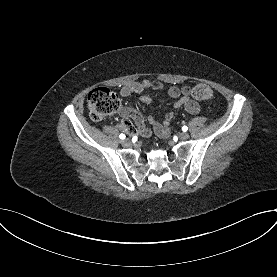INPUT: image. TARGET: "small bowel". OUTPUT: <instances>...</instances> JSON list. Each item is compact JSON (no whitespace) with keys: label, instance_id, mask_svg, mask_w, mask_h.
<instances>
[{"label":"small bowel","instance_id":"c3829d8e","mask_svg":"<svg viewBox=\"0 0 277 277\" xmlns=\"http://www.w3.org/2000/svg\"><path fill=\"white\" fill-rule=\"evenodd\" d=\"M163 85L159 81L142 80L130 82L124 85L120 91V97H128L131 94H138L139 100L144 104H151L152 98L145 93L148 89L161 90ZM169 97L176 99L174 108H184L190 114H197L200 111V105L191 96V88L189 86L177 87L172 86L168 89ZM121 115L124 118L123 126L130 132H134L135 129L129 119H132L137 127V131L143 137H150L155 134L158 137L164 138L170 134L171 125L174 119V113L168 112L164 115L162 121H158L155 115L148 117L150 127L146 126L144 117L133 108H123Z\"/></svg>","mask_w":277,"mask_h":277}]
</instances>
